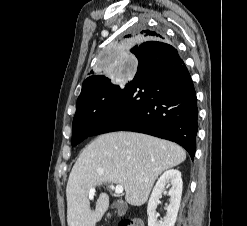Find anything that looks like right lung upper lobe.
<instances>
[{
  "label": "right lung upper lobe",
  "instance_id": "cb5924a9",
  "mask_svg": "<svg viewBox=\"0 0 247 226\" xmlns=\"http://www.w3.org/2000/svg\"><path fill=\"white\" fill-rule=\"evenodd\" d=\"M131 37H137L139 39H143L147 41H162V39H164V37L157 33L156 31H152L149 29H143L142 31H140L139 33H136L134 35H126L125 38H131ZM138 46H135L132 49V52L134 53V51L136 50ZM100 82V78L98 75H91L89 76L87 79L84 80L83 85H82V90H81V94H84L85 92L91 90L92 88H94L95 86L98 85V83Z\"/></svg>",
  "mask_w": 247,
  "mask_h": 226
}]
</instances>
